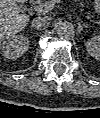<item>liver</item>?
<instances>
[{"mask_svg":"<svg viewBox=\"0 0 100 118\" xmlns=\"http://www.w3.org/2000/svg\"><path fill=\"white\" fill-rule=\"evenodd\" d=\"M27 0H0V40L15 36L22 31L29 21L27 14H20V7L17 2Z\"/></svg>","mask_w":100,"mask_h":118,"instance_id":"liver-1","label":"liver"}]
</instances>
